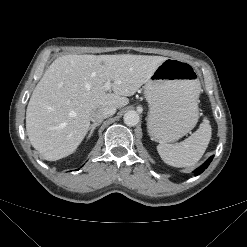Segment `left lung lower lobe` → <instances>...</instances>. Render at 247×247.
<instances>
[{"instance_id": "1", "label": "left lung lower lobe", "mask_w": 247, "mask_h": 247, "mask_svg": "<svg viewBox=\"0 0 247 247\" xmlns=\"http://www.w3.org/2000/svg\"><path fill=\"white\" fill-rule=\"evenodd\" d=\"M214 156H211L203 165H201L199 168H197L194 173L196 175L201 174L210 164Z\"/></svg>"}]
</instances>
